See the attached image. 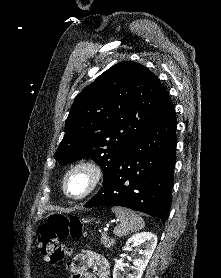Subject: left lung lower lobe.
Returning <instances> with one entry per match:
<instances>
[{"label": "left lung lower lobe", "instance_id": "obj_1", "mask_svg": "<svg viewBox=\"0 0 221 278\" xmlns=\"http://www.w3.org/2000/svg\"><path fill=\"white\" fill-rule=\"evenodd\" d=\"M174 105L119 155L104 186L84 206H123L167 220L176 153Z\"/></svg>", "mask_w": 221, "mask_h": 278}]
</instances>
